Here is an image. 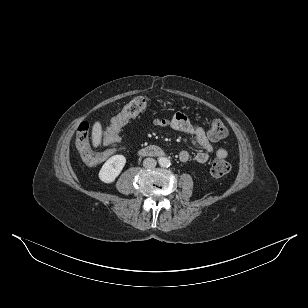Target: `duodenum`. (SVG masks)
Masks as SVG:
<instances>
[{
    "label": "duodenum",
    "instance_id": "duodenum-1",
    "mask_svg": "<svg viewBox=\"0 0 308 308\" xmlns=\"http://www.w3.org/2000/svg\"><path fill=\"white\" fill-rule=\"evenodd\" d=\"M140 155L142 156H162L164 154L163 150L158 146H148L140 150Z\"/></svg>",
    "mask_w": 308,
    "mask_h": 308
}]
</instances>
